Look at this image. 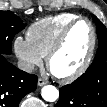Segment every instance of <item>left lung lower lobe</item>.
<instances>
[{"label":"left lung lower lobe","mask_w":107,"mask_h":107,"mask_svg":"<svg viewBox=\"0 0 107 107\" xmlns=\"http://www.w3.org/2000/svg\"><path fill=\"white\" fill-rule=\"evenodd\" d=\"M55 107H107V64L102 50L89 67V81L63 86Z\"/></svg>","instance_id":"0a47b994"}]
</instances>
